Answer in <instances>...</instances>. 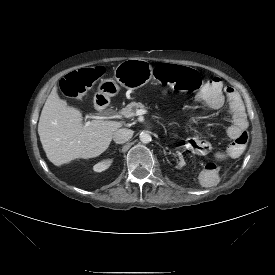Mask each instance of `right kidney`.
Returning a JSON list of instances; mask_svg holds the SVG:
<instances>
[{
  "label": "right kidney",
  "instance_id": "1",
  "mask_svg": "<svg viewBox=\"0 0 275 275\" xmlns=\"http://www.w3.org/2000/svg\"><path fill=\"white\" fill-rule=\"evenodd\" d=\"M112 164V161L109 158H106L103 162H99L94 166L95 172H102L109 168V166Z\"/></svg>",
  "mask_w": 275,
  "mask_h": 275
}]
</instances>
